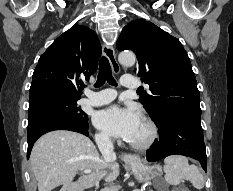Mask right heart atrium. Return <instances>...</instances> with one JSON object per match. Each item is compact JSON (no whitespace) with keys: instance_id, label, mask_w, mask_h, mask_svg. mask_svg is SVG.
<instances>
[{"instance_id":"d8ad5b80","label":"right heart atrium","mask_w":233,"mask_h":191,"mask_svg":"<svg viewBox=\"0 0 233 191\" xmlns=\"http://www.w3.org/2000/svg\"><path fill=\"white\" fill-rule=\"evenodd\" d=\"M95 140H96L97 145L101 149H107L113 145V140L111 139V137L104 132L96 133Z\"/></svg>"}]
</instances>
